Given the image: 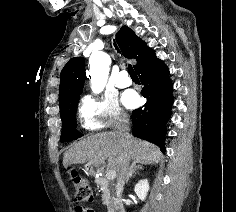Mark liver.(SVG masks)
I'll list each match as a JSON object with an SVG mask.
<instances>
[{"instance_id": "liver-1", "label": "liver", "mask_w": 236, "mask_h": 212, "mask_svg": "<svg viewBox=\"0 0 236 212\" xmlns=\"http://www.w3.org/2000/svg\"><path fill=\"white\" fill-rule=\"evenodd\" d=\"M126 149L133 162L141 164L158 163L163 155L152 143L137 139L128 134ZM124 151L121 138L116 132H103L87 136L75 143L63 157V166L84 164L100 167L108 158V168L118 170L120 158Z\"/></svg>"}]
</instances>
